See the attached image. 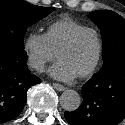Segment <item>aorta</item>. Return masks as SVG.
Segmentation results:
<instances>
[{"label":"aorta","instance_id":"aorta-1","mask_svg":"<svg viewBox=\"0 0 125 125\" xmlns=\"http://www.w3.org/2000/svg\"><path fill=\"white\" fill-rule=\"evenodd\" d=\"M60 104L66 111H74L81 104L80 95L74 90H66L60 96Z\"/></svg>","mask_w":125,"mask_h":125}]
</instances>
